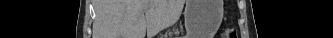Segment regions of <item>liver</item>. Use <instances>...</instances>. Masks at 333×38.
I'll list each match as a JSON object with an SVG mask.
<instances>
[{
    "instance_id": "obj_1",
    "label": "liver",
    "mask_w": 333,
    "mask_h": 38,
    "mask_svg": "<svg viewBox=\"0 0 333 38\" xmlns=\"http://www.w3.org/2000/svg\"><path fill=\"white\" fill-rule=\"evenodd\" d=\"M138 6L128 5L124 13L130 12V29L136 36H144L146 28L148 35L152 36L150 28H160L173 21L180 15L184 1L183 0H139ZM116 5L107 4L99 9L98 19L94 30L96 36H117L120 30L115 27L113 17Z\"/></svg>"
}]
</instances>
